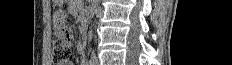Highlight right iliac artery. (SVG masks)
Here are the masks:
<instances>
[{
    "label": "right iliac artery",
    "instance_id": "1",
    "mask_svg": "<svg viewBox=\"0 0 232 65\" xmlns=\"http://www.w3.org/2000/svg\"><path fill=\"white\" fill-rule=\"evenodd\" d=\"M88 65H93V64H92V62L90 61V62L88 63Z\"/></svg>",
    "mask_w": 232,
    "mask_h": 65
}]
</instances>
